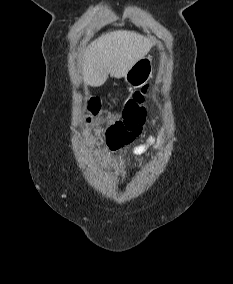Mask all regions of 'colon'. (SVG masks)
Returning <instances> with one entry per match:
<instances>
[{"instance_id": "5ec220e1", "label": "colon", "mask_w": 233, "mask_h": 284, "mask_svg": "<svg viewBox=\"0 0 233 284\" xmlns=\"http://www.w3.org/2000/svg\"><path fill=\"white\" fill-rule=\"evenodd\" d=\"M146 93L147 87L137 91L125 104L122 116L107 129L106 140L111 149H119L130 144L141 134L146 119ZM99 109L97 100L89 101L87 110L90 117L97 116Z\"/></svg>"}]
</instances>
